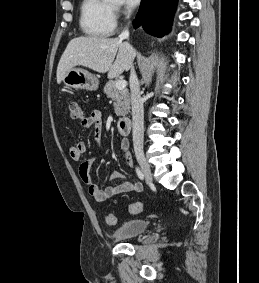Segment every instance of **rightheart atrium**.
I'll list each match as a JSON object with an SVG mask.
<instances>
[{
    "label": "right heart atrium",
    "mask_w": 259,
    "mask_h": 283,
    "mask_svg": "<svg viewBox=\"0 0 259 283\" xmlns=\"http://www.w3.org/2000/svg\"><path fill=\"white\" fill-rule=\"evenodd\" d=\"M115 12L117 13V12H118V9H115Z\"/></svg>",
    "instance_id": "right-heart-atrium-1"
}]
</instances>
